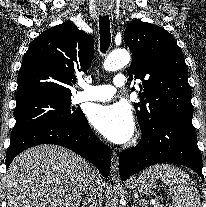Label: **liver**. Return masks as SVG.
Listing matches in <instances>:
<instances>
[{
    "label": "liver",
    "instance_id": "6515ba94",
    "mask_svg": "<svg viewBox=\"0 0 206 207\" xmlns=\"http://www.w3.org/2000/svg\"><path fill=\"white\" fill-rule=\"evenodd\" d=\"M93 167L56 145H39L19 154L9 166L4 189L9 207H78L92 180ZM100 192L104 181L95 178Z\"/></svg>",
    "mask_w": 206,
    "mask_h": 207
}]
</instances>
